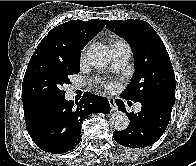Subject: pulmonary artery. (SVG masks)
<instances>
[{
	"mask_svg": "<svg viewBox=\"0 0 196 166\" xmlns=\"http://www.w3.org/2000/svg\"><path fill=\"white\" fill-rule=\"evenodd\" d=\"M130 58V48L124 42H118L112 46V68L115 71L123 69ZM141 105L135 106V111H140Z\"/></svg>",
	"mask_w": 196,
	"mask_h": 166,
	"instance_id": "1",
	"label": "pulmonary artery"
}]
</instances>
